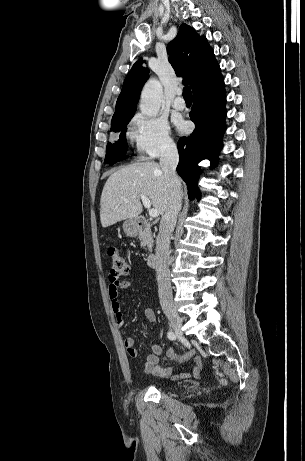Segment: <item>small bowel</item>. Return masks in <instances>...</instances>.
Segmentation results:
<instances>
[{
  "label": "small bowel",
  "mask_w": 305,
  "mask_h": 461,
  "mask_svg": "<svg viewBox=\"0 0 305 461\" xmlns=\"http://www.w3.org/2000/svg\"><path fill=\"white\" fill-rule=\"evenodd\" d=\"M130 287H131V283L129 281L114 278L111 275H109L108 296L111 302V310L113 312L115 321L119 326H122L125 323V316L121 310V305L119 301V291L129 289ZM144 314L150 322L152 323L156 322V315L151 308H146L144 310ZM124 345L130 356L132 357L137 356L138 353L135 348V339L133 337H126L124 339ZM151 350H152V353L146 357L145 362L143 364L144 371L146 373L153 374L156 376H161V377L170 376L171 375L170 368L158 367V363L160 362L162 358V353H163L162 347L157 343H152ZM191 355H192V351H189V352H186L184 355L179 356L175 354L172 348H169L166 353V356L169 359L176 360L178 362H185ZM202 366L203 365H202L201 359L197 357L190 371L173 375L172 379L179 380V379H184L188 377L197 378L200 376V373L202 371Z\"/></svg>",
  "instance_id": "1"
}]
</instances>
